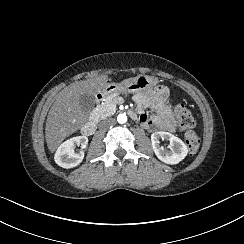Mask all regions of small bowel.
Wrapping results in <instances>:
<instances>
[{
	"label": "small bowel",
	"mask_w": 244,
	"mask_h": 244,
	"mask_svg": "<svg viewBox=\"0 0 244 244\" xmlns=\"http://www.w3.org/2000/svg\"><path fill=\"white\" fill-rule=\"evenodd\" d=\"M131 93L134 94L138 121L142 125L159 129L172 128L173 113L168 104L169 90L167 87L160 85L142 88Z\"/></svg>",
	"instance_id": "1"
}]
</instances>
